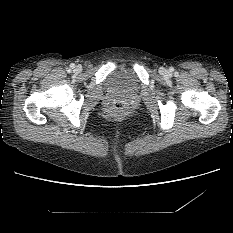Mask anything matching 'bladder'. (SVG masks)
Wrapping results in <instances>:
<instances>
[{"label": "bladder", "mask_w": 233, "mask_h": 233, "mask_svg": "<svg viewBox=\"0 0 233 233\" xmlns=\"http://www.w3.org/2000/svg\"><path fill=\"white\" fill-rule=\"evenodd\" d=\"M106 90L117 94H133L139 88L133 68L114 70L105 81Z\"/></svg>", "instance_id": "1"}]
</instances>
